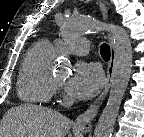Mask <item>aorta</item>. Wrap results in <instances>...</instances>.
Wrapping results in <instances>:
<instances>
[{
	"label": "aorta",
	"mask_w": 144,
	"mask_h": 137,
	"mask_svg": "<svg viewBox=\"0 0 144 137\" xmlns=\"http://www.w3.org/2000/svg\"><path fill=\"white\" fill-rule=\"evenodd\" d=\"M108 27L112 33L115 47L113 75L109 97L95 127L94 137L112 136L132 70V46L126 31L115 24H109ZM104 28L105 25L97 20L67 17L62 31L64 37L73 38L85 31L99 32ZM64 64L67 65V62H64Z\"/></svg>",
	"instance_id": "aorta-1"
}]
</instances>
